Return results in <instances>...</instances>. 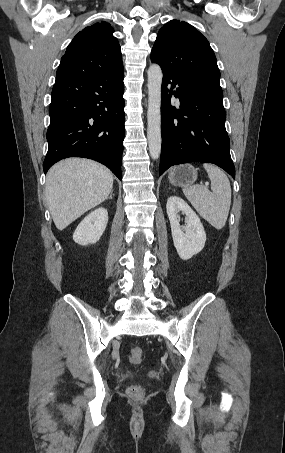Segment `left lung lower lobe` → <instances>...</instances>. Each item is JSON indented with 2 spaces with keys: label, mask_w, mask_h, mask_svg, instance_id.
Listing matches in <instances>:
<instances>
[{
  "label": "left lung lower lobe",
  "mask_w": 285,
  "mask_h": 453,
  "mask_svg": "<svg viewBox=\"0 0 285 453\" xmlns=\"http://www.w3.org/2000/svg\"><path fill=\"white\" fill-rule=\"evenodd\" d=\"M168 84H171L170 90ZM173 94L180 98L178 110L170 104ZM225 119L223 96L163 70L159 174L176 164L205 162L218 165L234 178L235 167L230 156Z\"/></svg>",
  "instance_id": "0a47b994"
}]
</instances>
